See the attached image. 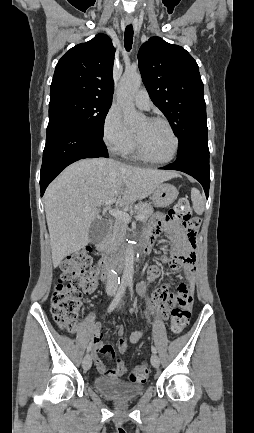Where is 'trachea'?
Masks as SVG:
<instances>
[{"label":"trachea","mask_w":254,"mask_h":433,"mask_svg":"<svg viewBox=\"0 0 254 433\" xmlns=\"http://www.w3.org/2000/svg\"><path fill=\"white\" fill-rule=\"evenodd\" d=\"M133 26L132 24L128 25L125 29L124 33V45L127 51H130L133 43Z\"/></svg>","instance_id":"3493384b"}]
</instances>
